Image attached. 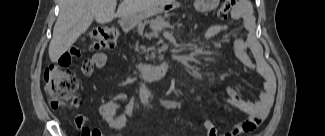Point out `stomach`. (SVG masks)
<instances>
[{
    "instance_id": "stomach-1",
    "label": "stomach",
    "mask_w": 325,
    "mask_h": 136,
    "mask_svg": "<svg viewBox=\"0 0 325 136\" xmlns=\"http://www.w3.org/2000/svg\"><path fill=\"white\" fill-rule=\"evenodd\" d=\"M218 3H219V0H196L195 7L199 11H208V10H211L214 7H216L218 5ZM178 5H179L178 1H169V4L164 6V11L170 12L171 9L173 11H175L178 8ZM155 12H156L155 10H151V11L143 13L142 15H139L135 18H131L129 21L130 25L131 26L135 25L139 21L155 14Z\"/></svg>"
}]
</instances>
